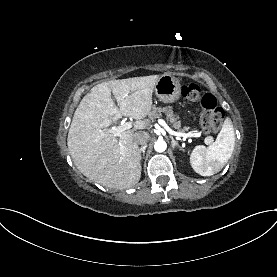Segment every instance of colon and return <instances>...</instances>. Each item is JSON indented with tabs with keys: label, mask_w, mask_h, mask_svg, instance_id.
<instances>
[{
	"label": "colon",
	"mask_w": 277,
	"mask_h": 277,
	"mask_svg": "<svg viewBox=\"0 0 277 277\" xmlns=\"http://www.w3.org/2000/svg\"><path fill=\"white\" fill-rule=\"evenodd\" d=\"M182 96L190 102H199L203 111L200 122L204 134L217 132L224 119L223 110L218 107L216 98L209 93L203 94L200 85L187 83L182 87Z\"/></svg>",
	"instance_id": "1"
}]
</instances>
